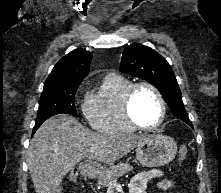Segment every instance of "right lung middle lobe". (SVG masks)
Segmentation results:
<instances>
[{"instance_id": "obj_1", "label": "right lung middle lobe", "mask_w": 221, "mask_h": 193, "mask_svg": "<svg viewBox=\"0 0 221 193\" xmlns=\"http://www.w3.org/2000/svg\"><path fill=\"white\" fill-rule=\"evenodd\" d=\"M77 88L78 86L43 89L35 124H41L56 114H76L74 97Z\"/></svg>"}]
</instances>
